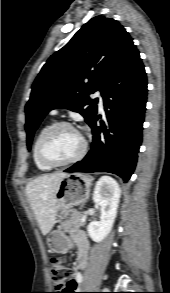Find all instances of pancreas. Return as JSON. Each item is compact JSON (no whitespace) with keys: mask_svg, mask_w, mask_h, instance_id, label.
<instances>
[{"mask_svg":"<svg viewBox=\"0 0 170 293\" xmlns=\"http://www.w3.org/2000/svg\"><path fill=\"white\" fill-rule=\"evenodd\" d=\"M67 214L68 216L66 217V220L62 223L63 229L74 231L81 226H84V222H82L83 215L81 212L70 210Z\"/></svg>","mask_w":170,"mask_h":293,"instance_id":"pancreas-1","label":"pancreas"}]
</instances>
